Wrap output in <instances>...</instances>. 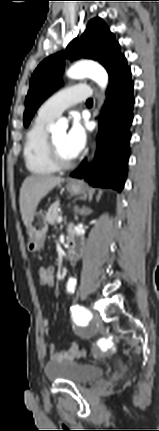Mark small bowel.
Segmentation results:
<instances>
[{
  "instance_id": "c3829d8e",
  "label": "small bowel",
  "mask_w": 159,
  "mask_h": 431,
  "mask_svg": "<svg viewBox=\"0 0 159 431\" xmlns=\"http://www.w3.org/2000/svg\"><path fill=\"white\" fill-rule=\"evenodd\" d=\"M47 271H50V268H47V266H41L39 269V275H40V285L43 287H49V273ZM54 277H56V271ZM72 292L69 290V285H67V288L65 290V295L67 297L70 296ZM43 328L45 329V332L48 333L49 330V320L47 318L43 319L42 321ZM47 351L49 352L50 359L53 362H67L72 361L73 359L81 357V348L75 344L72 343L70 347L64 351H57L56 346L53 343H50L47 346Z\"/></svg>"
}]
</instances>
